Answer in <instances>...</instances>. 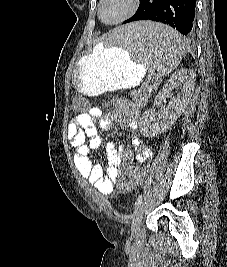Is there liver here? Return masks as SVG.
Segmentation results:
<instances>
[{
	"instance_id": "1",
	"label": "liver",
	"mask_w": 227,
	"mask_h": 267,
	"mask_svg": "<svg viewBox=\"0 0 227 267\" xmlns=\"http://www.w3.org/2000/svg\"><path fill=\"white\" fill-rule=\"evenodd\" d=\"M111 33H117V30L114 29ZM98 49H101L102 47H97Z\"/></svg>"
}]
</instances>
